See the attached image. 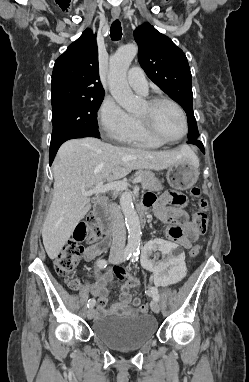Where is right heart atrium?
<instances>
[{
  "instance_id": "right-heart-atrium-1",
  "label": "right heart atrium",
  "mask_w": 249,
  "mask_h": 382,
  "mask_svg": "<svg viewBox=\"0 0 249 382\" xmlns=\"http://www.w3.org/2000/svg\"><path fill=\"white\" fill-rule=\"evenodd\" d=\"M98 123L102 134L114 141L122 142L133 131L134 120L111 97H105L98 110Z\"/></svg>"
}]
</instances>
